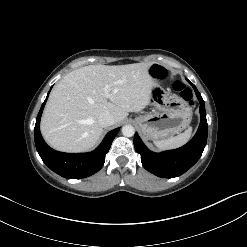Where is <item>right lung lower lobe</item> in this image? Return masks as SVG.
Segmentation results:
<instances>
[{
    "instance_id": "obj_1",
    "label": "right lung lower lobe",
    "mask_w": 247,
    "mask_h": 247,
    "mask_svg": "<svg viewBox=\"0 0 247 247\" xmlns=\"http://www.w3.org/2000/svg\"><path fill=\"white\" fill-rule=\"evenodd\" d=\"M47 98L41 106L34 128L36 149L43 162L52 171L68 179H81L98 172L105 162V155L109 151L119 128L110 131L102 143L90 153H63L55 151L45 143L39 129L40 118Z\"/></svg>"
}]
</instances>
